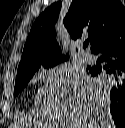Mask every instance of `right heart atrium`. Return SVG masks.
Wrapping results in <instances>:
<instances>
[{
  "instance_id": "1",
  "label": "right heart atrium",
  "mask_w": 125,
  "mask_h": 128,
  "mask_svg": "<svg viewBox=\"0 0 125 128\" xmlns=\"http://www.w3.org/2000/svg\"><path fill=\"white\" fill-rule=\"evenodd\" d=\"M38 79L41 83L46 86L50 82V75L48 73L43 72L38 75Z\"/></svg>"
}]
</instances>
